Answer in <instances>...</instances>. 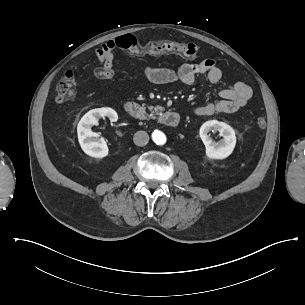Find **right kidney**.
<instances>
[{
    "label": "right kidney",
    "instance_id": "obj_1",
    "mask_svg": "<svg viewBox=\"0 0 305 305\" xmlns=\"http://www.w3.org/2000/svg\"><path fill=\"white\" fill-rule=\"evenodd\" d=\"M108 117L111 122L118 120L117 113L112 108H98L87 112L78 124V138L83 151L89 156L102 158L108 155V147L103 139L94 140L95 133L91 127L98 124L100 118Z\"/></svg>",
    "mask_w": 305,
    "mask_h": 305
}]
</instances>
